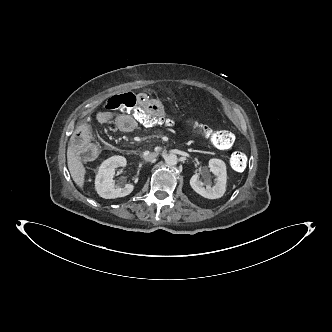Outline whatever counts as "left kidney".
<instances>
[{
	"label": "left kidney",
	"mask_w": 332,
	"mask_h": 332,
	"mask_svg": "<svg viewBox=\"0 0 332 332\" xmlns=\"http://www.w3.org/2000/svg\"><path fill=\"white\" fill-rule=\"evenodd\" d=\"M210 172L216 176V182L211 187L200 180V173L193 175L190 179V185L195 192L208 199H216L223 196L226 190L227 172L226 165L220 159H211L209 161Z\"/></svg>",
	"instance_id": "1"
}]
</instances>
